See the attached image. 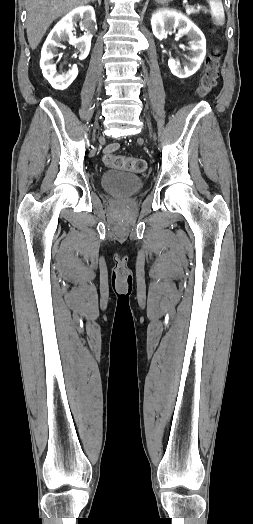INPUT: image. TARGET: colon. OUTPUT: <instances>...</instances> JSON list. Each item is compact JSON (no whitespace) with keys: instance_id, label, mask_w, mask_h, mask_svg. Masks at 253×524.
<instances>
[{"instance_id":"colon-1","label":"colon","mask_w":253,"mask_h":524,"mask_svg":"<svg viewBox=\"0 0 253 524\" xmlns=\"http://www.w3.org/2000/svg\"><path fill=\"white\" fill-rule=\"evenodd\" d=\"M221 56L218 51H214L206 60L205 71L200 79L198 93L200 95L209 94L216 86L219 78ZM104 162L108 166L116 169L142 173L147 168V163L139 157H125L114 153H107L104 156Z\"/></svg>"}]
</instances>
